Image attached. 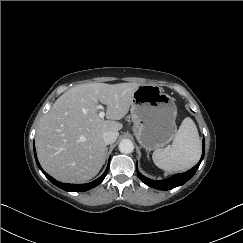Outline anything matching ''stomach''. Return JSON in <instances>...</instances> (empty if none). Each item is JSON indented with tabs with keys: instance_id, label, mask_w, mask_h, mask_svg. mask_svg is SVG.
<instances>
[{
	"instance_id": "1",
	"label": "stomach",
	"mask_w": 243,
	"mask_h": 243,
	"mask_svg": "<svg viewBox=\"0 0 243 243\" xmlns=\"http://www.w3.org/2000/svg\"><path fill=\"white\" fill-rule=\"evenodd\" d=\"M130 111L134 135L146 150L160 149L175 137L177 107L158 85H139L133 92Z\"/></svg>"
}]
</instances>
